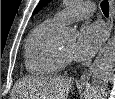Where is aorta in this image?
I'll return each instance as SVG.
<instances>
[{
  "mask_svg": "<svg viewBox=\"0 0 115 99\" xmlns=\"http://www.w3.org/2000/svg\"><path fill=\"white\" fill-rule=\"evenodd\" d=\"M68 2V1H67ZM72 30L60 31L63 42L73 37ZM115 64V35L107 42L95 61L92 76L91 99H105L109 76Z\"/></svg>",
  "mask_w": 115,
  "mask_h": 99,
  "instance_id": "aorta-1",
  "label": "aorta"
}]
</instances>
